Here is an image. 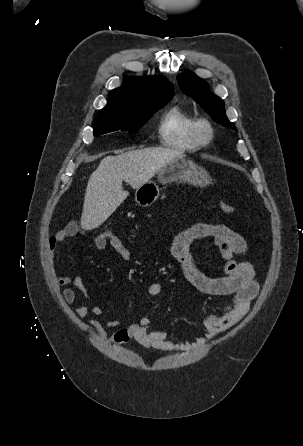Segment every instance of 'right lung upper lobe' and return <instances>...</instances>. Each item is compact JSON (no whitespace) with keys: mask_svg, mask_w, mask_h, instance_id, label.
<instances>
[{"mask_svg":"<svg viewBox=\"0 0 303 446\" xmlns=\"http://www.w3.org/2000/svg\"><path fill=\"white\" fill-rule=\"evenodd\" d=\"M174 96L172 84L162 76L130 77L112 90L103 109L143 112L159 104H166Z\"/></svg>","mask_w":303,"mask_h":446,"instance_id":"1","label":"right lung upper lobe"}]
</instances>
